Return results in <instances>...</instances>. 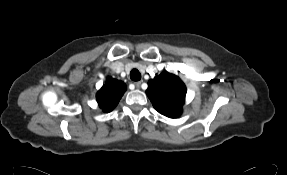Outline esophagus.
<instances>
[{"instance_id":"obj_1","label":"esophagus","mask_w":287,"mask_h":175,"mask_svg":"<svg viewBox=\"0 0 287 175\" xmlns=\"http://www.w3.org/2000/svg\"><path fill=\"white\" fill-rule=\"evenodd\" d=\"M141 83H142V81H137V82H134V85L137 89H139L141 86Z\"/></svg>"}]
</instances>
